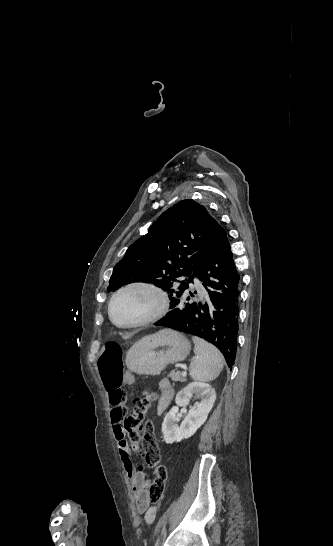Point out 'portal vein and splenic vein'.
<instances>
[{
    "label": "portal vein and splenic vein",
    "mask_w": 333,
    "mask_h": 546,
    "mask_svg": "<svg viewBox=\"0 0 333 546\" xmlns=\"http://www.w3.org/2000/svg\"><path fill=\"white\" fill-rule=\"evenodd\" d=\"M187 375L186 371L182 372V376L185 377Z\"/></svg>",
    "instance_id": "obj_1"
}]
</instances>
